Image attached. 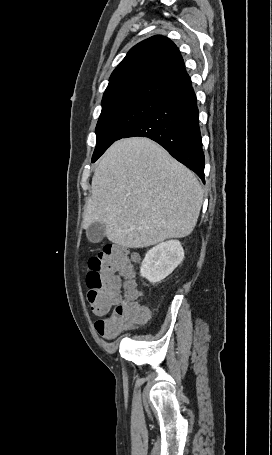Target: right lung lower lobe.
<instances>
[{
    "mask_svg": "<svg viewBox=\"0 0 272 455\" xmlns=\"http://www.w3.org/2000/svg\"><path fill=\"white\" fill-rule=\"evenodd\" d=\"M133 136H144L156 141L204 182L205 158L196 95L192 87L165 101L118 139Z\"/></svg>",
    "mask_w": 272,
    "mask_h": 455,
    "instance_id": "right-lung-lower-lobe-1",
    "label": "right lung lower lobe"
}]
</instances>
